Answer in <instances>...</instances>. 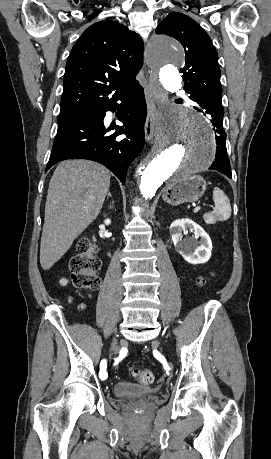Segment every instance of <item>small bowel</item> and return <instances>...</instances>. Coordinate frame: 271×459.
Masks as SVG:
<instances>
[{"label":"small bowel","mask_w":271,"mask_h":459,"mask_svg":"<svg viewBox=\"0 0 271 459\" xmlns=\"http://www.w3.org/2000/svg\"><path fill=\"white\" fill-rule=\"evenodd\" d=\"M61 283L65 284L66 283L65 279H61Z\"/></svg>","instance_id":"obj_1"}]
</instances>
